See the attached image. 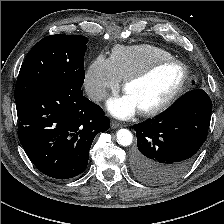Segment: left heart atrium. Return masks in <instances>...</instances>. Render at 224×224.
I'll return each instance as SVG.
<instances>
[{
	"label": "left heart atrium",
	"instance_id": "39dd6f15",
	"mask_svg": "<svg viewBox=\"0 0 224 224\" xmlns=\"http://www.w3.org/2000/svg\"><path fill=\"white\" fill-rule=\"evenodd\" d=\"M107 107L113 116L121 119L129 118L138 111L136 103L127 94L109 100Z\"/></svg>",
	"mask_w": 224,
	"mask_h": 224
}]
</instances>
